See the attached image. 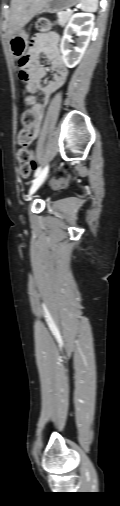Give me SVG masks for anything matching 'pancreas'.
Returning a JSON list of instances; mask_svg holds the SVG:
<instances>
[{"instance_id": "pancreas-1", "label": "pancreas", "mask_w": 120, "mask_h": 506, "mask_svg": "<svg viewBox=\"0 0 120 506\" xmlns=\"http://www.w3.org/2000/svg\"><path fill=\"white\" fill-rule=\"evenodd\" d=\"M71 15H72V13H69V12H58L57 13L58 23L61 26H64L71 18Z\"/></svg>"}]
</instances>
